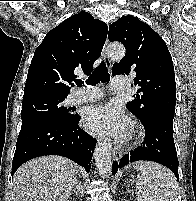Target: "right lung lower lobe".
Wrapping results in <instances>:
<instances>
[{"instance_id":"obj_1","label":"right lung lower lobe","mask_w":196,"mask_h":201,"mask_svg":"<svg viewBox=\"0 0 196 201\" xmlns=\"http://www.w3.org/2000/svg\"><path fill=\"white\" fill-rule=\"evenodd\" d=\"M80 117L61 122L46 117L22 120L12 163V175L26 161L44 155L67 157L90 171L97 140L79 128Z\"/></svg>"}]
</instances>
